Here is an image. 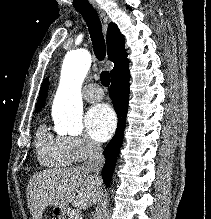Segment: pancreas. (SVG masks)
I'll list each match as a JSON object with an SVG mask.
<instances>
[{
	"label": "pancreas",
	"mask_w": 211,
	"mask_h": 219,
	"mask_svg": "<svg viewBox=\"0 0 211 219\" xmlns=\"http://www.w3.org/2000/svg\"><path fill=\"white\" fill-rule=\"evenodd\" d=\"M68 219H75L73 215H70Z\"/></svg>",
	"instance_id": "cf45deb5"
}]
</instances>
